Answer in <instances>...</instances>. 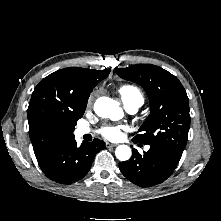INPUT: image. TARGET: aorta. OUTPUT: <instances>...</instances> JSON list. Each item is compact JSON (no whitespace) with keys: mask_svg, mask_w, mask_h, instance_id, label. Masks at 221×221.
Returning a JSON list of instances; mask_svg holds the SVG:
<instances>
[{"mask_svg":"<svg viewBox=\"0 0 221 221\" xmlns=\"http://www.w3.org/2000/svg\"><path fill=\"white\" fill-rule=\"evenodd\" d=\"M95 113L102 118L119 120L123 116L122 108L119 103L109 97H100L94 104ZM132 154L128 145H119L115 150V155L120 161H127Z\"/></svg>","mask_w":221,"mask_h":221,"instance_id":"obj_1","label":"aorta"}]
</instances>
